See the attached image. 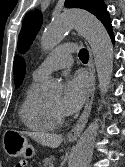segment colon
I'll use <instances>...</instances> for the list:
<instances>
[{
	"instance_id": "1",
	"label": "colon",
	"mask_w": 125,
	"mask_h": 167,
	"mask_svg": "<svg viewBox=\"0 0 125 167\" xmlns=\"http://www.w3.org/2000/svg\"><path fill=\"white\" fill-rule=\"evenodd\" d=\"M26 166V164H25V162H18V163H15L12 167H25Z\"/></svg>"
}]
</instances>
